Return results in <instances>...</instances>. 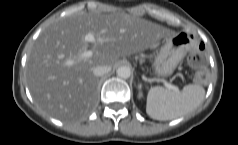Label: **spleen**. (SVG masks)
Wrapping results in <instances>:
<instances>
[{"mask_svg": "<svg viewBox=\"0 0 238 145\" xmlns=\"http://www.w3.org/2000/svg\"><path fill=\"white\" fill-rule=\"evenodd\" d=\"M204 96L205 89L197 84L184 86L182 92L153 87L147 95L146 113L156 120L176 119L196 109Z\"/></svg>", "mask_w": 238, "mask_h": 145, "instance_id": "obj_1", "label": "spleen"}]
</instances>
